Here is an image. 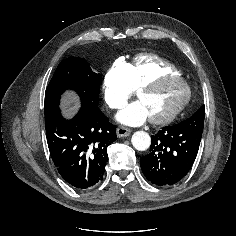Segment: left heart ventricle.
<instances>
[{
  "label": "left heart ventricle",
  "mask_w": 236,
  "mask_h": 236,
  "mask_svg": "<svg viewBox=\"0 0 236 236\" xmlns=\"http://www.w3.org/2000/svg\"><path fill=\"white\" fill-rule=\"evenodd\" d=\"M184 93V86L180 82L165 81L142 93L139 100L146 107L149 117H160L173 110L182 100Z\"/></svg>",
  "instance_id": "left-heart-ventricle-1"
}]
</instances>
